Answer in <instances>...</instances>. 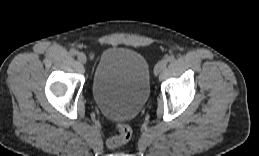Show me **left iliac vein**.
<instances>
[{"mask_svg":"<svg viewBox=\"0 0 259 156\" xmlns=\"http://www.w3.org/2000/svg\"><path fill=\"white\" fill-rule=\"evenodd\" d=\"M167 66V61L165 59L160 60L154 68V74L157 76L161 71H163Z\"/></svg>","mask_w":259,"mask_h":156,"instance_id":"obj_1","label":"left iliac vein"}]
</instances>
